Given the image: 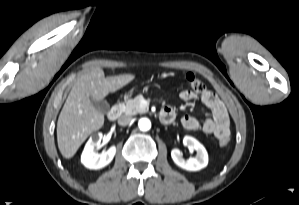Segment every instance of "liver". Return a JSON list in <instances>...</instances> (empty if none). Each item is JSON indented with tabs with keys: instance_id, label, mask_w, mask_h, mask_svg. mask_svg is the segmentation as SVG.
I'll use <instances>...</instances> for the list:
<instances>
[{
	"instance_id": "liver-1",
	"label": "liver",
	"mask_w": 299,
	"mask_h": 205,
	"mask_svg": "<svg viewBox=\"0 0 299 205\" xmlns=\"http://www.w3.org/2000/svg\"><path fill=\"white\" fill-rule=\"evenodd\" d=\"M133 74L105 77L99 68L82 74L72 87L57 121L58 148L64 158L75 155L81 144L104 124V115L91 103L90 98L103 100L127 85Z\"/></svg>"
}]
</instances>
